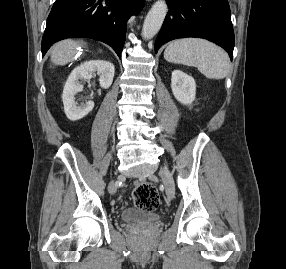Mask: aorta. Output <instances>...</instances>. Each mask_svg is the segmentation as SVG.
Segmentation results:
<instances>
[{
	"instance_id": "1",
	"label": "aorta",
	"mask_w": 286,
	"mask_h": 269,
	"mask_svg": "<svg viewBox=\"0 0 286 269\" xmlns=\"http://www.w3.org/2000/svg\"><path fill=\"white\" fill-rule=\"evenodd\" d=\"M167 11L168 7L165 0H157L153 4L144 20L141 33L144 39H151L158 33L163 24Z\"/></svg>"
}]
</instances>
